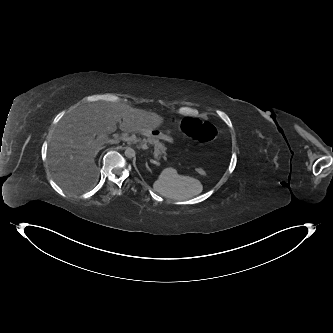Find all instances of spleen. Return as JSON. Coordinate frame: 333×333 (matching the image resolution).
Returning <instances> with one entry per match:
<instances>
[{
	"label": "spleen",
	"instance_id": "1",
	"mask_svg": "<svg viewBox=\"0 0 333 333\" xmlns=\"http://www.w3.org/2000/svg\"><path fill=\"white\" fill-rule=\"evenodd\" d=\"M153 189L166 198L184 200L199 195L203 186L199 180L179 175L175 169L167 168L153 183Z\"/></svg>",
	"mask_w": 333,
	"mask_h": 333
}]
</instances>
